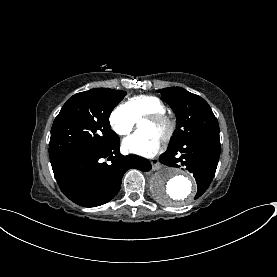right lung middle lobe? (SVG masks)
Masks as SVG:
<instances>
[{"label":"right lung middle lobe","mask_w":277,"mask_h":277,"mask_svg":"<svg viewBox=\"0 0 277 277\" xmlns=\"http://www.w3.org/2000/svg\"><path fill=\"white\" fill-rule=\"evenodd\" d=\"M125 91L95 88L73 95L55 118L49 143L50 159L65 152L102 148L119 140L109 116Z\"/></svg>","instance_id":"1"}]
</instances>
